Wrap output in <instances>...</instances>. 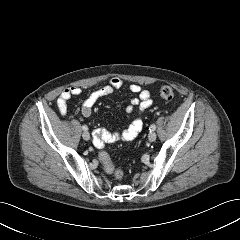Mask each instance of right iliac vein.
<instances>
[{"label": "right iliac vein", "instance_id": "obj_1", "mask_svg": "<svg viewBox=\"0 0 240 240\" xmlns=\"http://www.w3.org/2000/svg\"><path fill=\"white\" fill-rule=\"evenodd\" d=\"M82 137L84 140L88 141L90 139V133L88 131H84Z\"/></svg>", "mask_w": 240, "mask_h": 240}]
</instances>
